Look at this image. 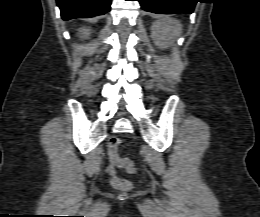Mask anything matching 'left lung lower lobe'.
<instances>
[{
	"label": "left lung lower lobe",
	"mask_w": 260,
	"mask_h": 217,
	"mask_svg": "<svg viewBox=\"0 0 260 217\" xmlns=\"http://www.w3.org/2000/svg\"><path fill=\"white\" fill-rule=\"evenodd\" d=\"M143 10L157 14H191L197 0H138Z\"/></svg>",
	"instance_id": "0a47b994"
}]
</instances>
